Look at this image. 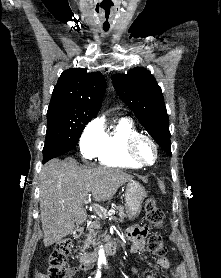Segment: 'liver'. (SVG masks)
I'll return each mask as SVG.
<instances>
[{"mask_svg":"<svg viewBox=\"0 0 221 278\" xmlns=\"http://www.w3.org/2000/svg\"><path fill=\"white\" fill-rule=\"evenodd\" d=\"M40 178L43 241L45 246H49L86 221L87 213L83 205L89 193H92L95 202L106 201L133 176L105 166L82 168L75 159L66 158L46 163Z\"/></svg>","mask_w":221,"mask_h":278,"instance_id":"6515ba94","label":"liver"}]
</instances>
